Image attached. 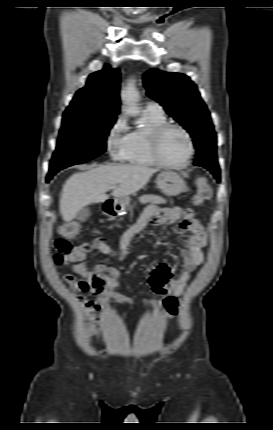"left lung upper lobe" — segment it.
<instances>
[{
    "label": "left lung upper lobe",
    "mask_w": 273,
    "mask_h": 430,
    "mask_svg": "<svg viewBox=\"0 0 273 430\" xmlns=\"http://www.w3.org/2000/svg\"><path fill=\"white\" fill-rule=\"evenodd\" d=\"M147 94L192 136L197 158L216 154V133L196 85L180 73L151 69L144 75Z\"/></svg>",
    "instance_id": "5c2ea615"
}]
</instances>
